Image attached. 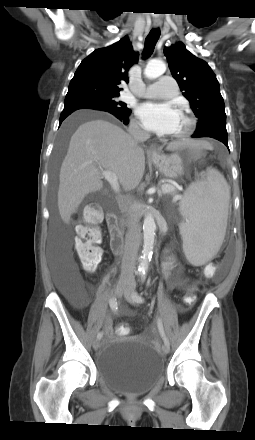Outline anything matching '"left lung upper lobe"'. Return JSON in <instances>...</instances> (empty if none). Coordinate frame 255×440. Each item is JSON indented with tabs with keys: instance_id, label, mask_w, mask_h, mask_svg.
I'll return each instance as SVG.
<instances>
[{
	"instance_id": "1",
	"label": "left lung upper lobe",
	"mask_w": 255,
	"mask_h": 440,
	"mask_svg": "<svg viewBox=\"0 0 255 440\" xmlns=\"http://www.w3.org/2000/svg\"><path fill=\"white\" fill-rule=\"evenodd\" d=\"M164 55L172 76L198 118L195 133L216 131L227 134L225 105L219 82L210 66L189 52L181 42L165 47Z\"/></svg>"
}]
</instances>
